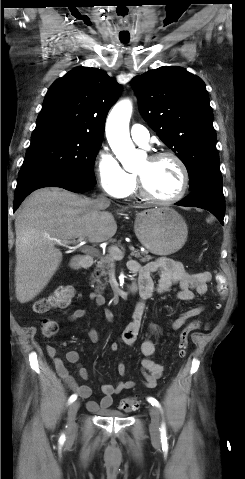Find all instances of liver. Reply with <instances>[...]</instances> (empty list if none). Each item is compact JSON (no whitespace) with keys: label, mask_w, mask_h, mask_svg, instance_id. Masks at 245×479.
I'll return each instance as SVG.
<instances>
[{"label":"liver","mask_w":245,"mask_h":479,"mask_svg":"<svg viewBox=\"0 0 245 479\" xmlns=\"http://www.w3.org/2000/svg\"><path fill=\"white\" fill-rule=\"evenodd\" d=\"M109 205L60 188L39 189L23 202L15 219V292L20 303L37 296L58 269L62 252L53 239L103 242L115 235L117 224L105 211Z\"/></svg>","instance_id":"obj_1"}]
</instances>
